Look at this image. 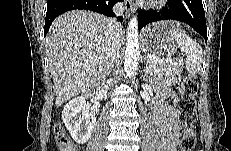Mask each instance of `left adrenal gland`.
Segmentation results:
<instances>
[{"mask_svg": "<svg viewBox=\"0 0 231 151\" xmlns=\"http://www.w3.org/2000/svg\"><path fill=\"white\" fill-rule=\"evenodd\" d=\"M143 59L145 60V59H146V57H145V56H143ZM147 63H148V61H147ZM144 71H145V75L143 76V78H145V76L147 75L146 73H147V71H148V68H146Z\"/></svg>", "mask_w": 231, "mask_h": 151, "instance_id": "left-adrenal-gland-1", "label": "left adrenal gland"}]
</instances>
